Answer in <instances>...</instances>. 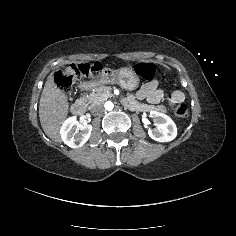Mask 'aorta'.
<instances>
[{
    "mask_svg": "<svg viewBox=\"0 0 236 236\" xmlns=\"http://www.w3.org/2000/svg\"><path fill=\"white\" fill-rule=\"evenodd\" d=\"M105 110L111 111L114 108V104L111 101H106L104 104Z\"/></svg>",
    "mask_w": 236,
    "mask_h": 236,
    "instance_id": "aorta-1",
    "label": "aorta"
}]
</instances>
